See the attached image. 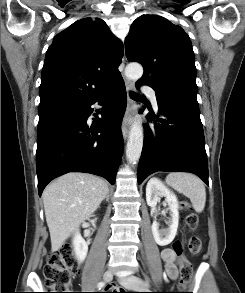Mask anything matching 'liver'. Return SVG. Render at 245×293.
I'll list each match as a JSON object with an SVG mask.
<instances>
[{
    "label": "liver",
    "mask_w": 245,
    "mask_h": 293,
    "mask_svg": "<svg viewBox=\"0 0 245 293\" xmlns=\"http://www.w3.org/2000/svg\"><path fill=\"white\" fill-rule=\"evenodd\" d=\"M108 192L103 179L87 173L65 174L45 188L43 203L52 252L98 209Z\"/></svg>",
    "instance_id": "1"
}]
</instances>
